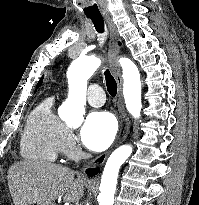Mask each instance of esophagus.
I'll list each match as a JSON object with an SVG mask.
<instances>
[{
  "instance_id": "1",
  "label": "esophagus",
  "mask_w": 199,
  "mask_h": 205,
  "mask_svg": "<svg viewBox=\"0 0 199 205\" xmlns=\"http://www.w3.org/2000/svg\"><path fill=\"white\" fill-rule=\"evenodd\" d=\"M106 21H107V24L110 30L108 58H109L110 66L115 75L116 83H117V106H118V113H119V119H120V129H119L117 139L112 145V147L106 152L97 156L95 159L88 162L87 166H91V167H101L106 161L111 151L126 139L130 131V121L125 113L123 101H122L123 83H122L121 70L116 61L117 56H118V48L116 46V40L118 38L117 29H116L115 24L110 18H106Z\"/></svg>"
}]
</instances>
